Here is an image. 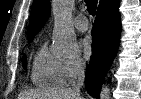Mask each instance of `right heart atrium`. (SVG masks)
<instances>
[{"label": "right heart atrium", "instance_id": "right-heart-atrium-1", "mask_svg": "<svg viewBox=\"0 0 141 99\" xmlns=\"http://www.w3.org/2000/svg\"><path fill=\"white\" fill-rule=\"evenodd\" d=\"M85 69V62L81 57L66 58L62 61L64 80L72 82L77 79Z\"/></svg>", "mask_w": 141, "mask_h": 99}]
</instances>
